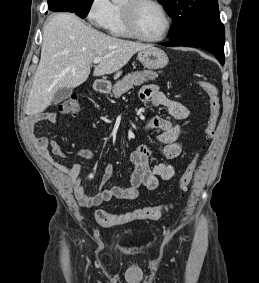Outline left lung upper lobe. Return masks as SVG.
Listing matches in <instances>:
<instances>
[{
  "instance_id": "left-lung-upper-lobe-1",
  "label": "left lung upper lobe",
  "mask_w": 259,
  "mask_h": 283,
  "mask_svg": "<svg viewBox=\"0 0 259 283\" xmlns=\"http://www.w3.org/2000/svg\"><path fill=\"white\" fill-rule=\"evenodd\" d=\"M173 19L171 40L188 37L220 21L217 0H158Z\"/></svg>"
}]
</instances>
